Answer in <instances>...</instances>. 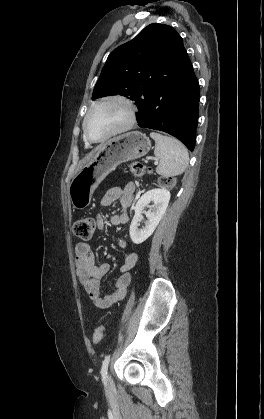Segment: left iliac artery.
Masks as SVG:
<instances>
[{
  "instance_id": "obj_1",
  "label": "left iliac artery",
  "mask_w": 264,
  "mask_h": 419,
  "mask_svg": "<svg viewBox=\"0 0 264 419\" xmlns=\"http://www.w3.org/2000/svg\"><path fill=\"white\" fill-rule=\"evenodd\" d=\"M109 361H110V355H107L103 361L102 368H101V376H102V380L104 384L107 383V370H108Z\"/></svg>"
}]
</instances>
